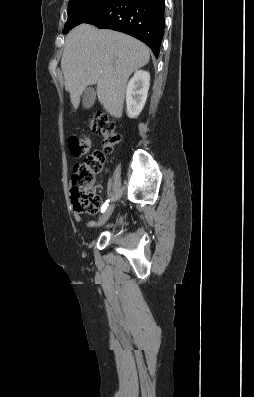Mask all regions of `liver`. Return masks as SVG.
Masks as SVG:
<instances>
[{
    "label": "liver",
    "mask_w": 254,
    "mask_h": 397,
    "mask_svg": "<svg viewBox=\"0 0 254 397\" xmlns=\"http://www.w3.org/2000/svg\"><path fill=\"white\" fill-rule=\"evenodd\" d=\"M149 49L137 39L108 29L81 24L66 37L61 58L64 84L77 109L88 85H97L104 109L122 116L126 83L130 75L148 64Z\"/></svg>",
    "instance_id": "liver-1"
}]
</instances>
